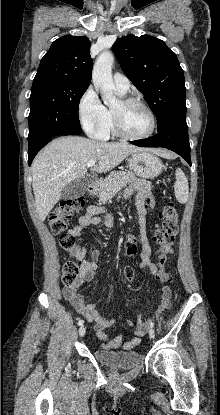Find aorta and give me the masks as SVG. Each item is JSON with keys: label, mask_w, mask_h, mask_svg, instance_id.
<instances>
[{"label": "aorta", "mask_w": 220, "mask_h": 415, "mask_svg": "<svg viewBox=\"0 0 220 415\" xmlns=\"http://www.w3.org/2000/svg\"><path fill=\"white\" fill-rule=\"evenodd\" d=\"M113 63V54L110 51H104L98 56L92 72L93 84L97 90H100L102 100L107 106L117 102L112 79Z\"/></svg>", "instance_id": "aorta-1"}]
</instances>
